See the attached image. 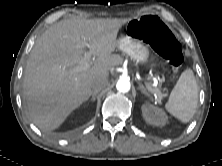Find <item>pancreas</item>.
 <instances>
[{"label": "pancreas", "instance_id": "1", "mask_svg": "<svg viewBox=\"0 0 222 166\" xmlns=\"http://www.w3.org/2000/svg\"><path fill=\"white\" fill-rule=\"evenodd\" d=\"M155 90H158L156 88H152L151 92L154 93ZM159 91V90H158Z\"/></svg>", "mask_w": 222, "mask_h": 166}]
</instances>
